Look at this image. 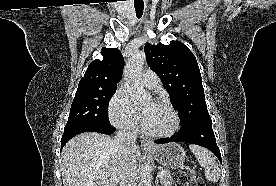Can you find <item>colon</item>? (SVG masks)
<instances>
[{
  "label": "colon",
  "instance_id": "colon-1",
  "mask_svg": "<svg viewBox=\"0 0 276 186\" xmlns=\"http://www.w3.org/2000/svg\"><path fill=\"white\" fill-rule=\"evenodd\" d=\"M175 186H206L203 179L187 172H177L174 176Z\"/></svg>",
  "mask_w": 276,
  "mask_h": 186
}]
</instances>
